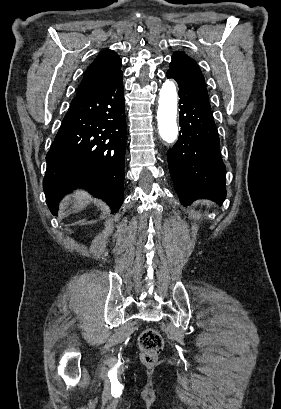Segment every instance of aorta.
<instances>
[{
  "instance_id": "1",
  "label": "aorta",
  "mask_w": 281,
  "mask_h": 409,
  "mask_svg": "<svg viewBox=\"0 0 281 409\" xmlns=\"http://www.w3.org/2000/svg\"><path fill=\"white\" fill-rule=\"evenodd\" d=\"M157 120L160 137L167 143H173L178 135L177 127V91L173 81L166 80L159 92Z\"/></svg>"
}]
</instances>
